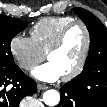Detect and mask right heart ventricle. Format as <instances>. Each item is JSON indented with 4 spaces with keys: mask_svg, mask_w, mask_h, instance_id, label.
Returning a JSON list of instances; mask_svg holds the SVG:
<instances>
[{
    "mask_svg": "<svg viewBox=\"0 0 107 107\" xmlns=\"http://www.w3.org/2000/svg\"><path fill=\"white\" fill-rule=\"evenodd\" d=\"M75 19L71 16L45 17L36 22L31 30V38L45 54L56 40L60 31Z\"/></svg>",
    "mask_w": 107,
    "mask_h": 107,
    "instance_id": "right-heart-ventricle-1",
    "label": "right heart ventricle"
}]
</instances>
